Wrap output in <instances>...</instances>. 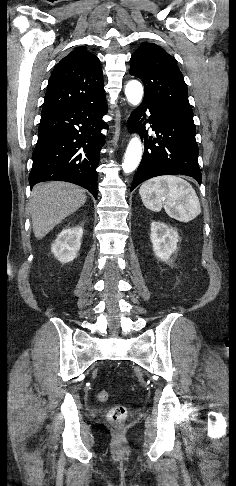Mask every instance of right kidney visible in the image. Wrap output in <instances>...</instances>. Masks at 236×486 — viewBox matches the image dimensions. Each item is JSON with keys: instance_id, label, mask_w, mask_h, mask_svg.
Returning a JSON list of instances; mask_svg holds the SVG:
<instances>
[{"instance_id": "right-kidney-1", "label": "right kidney", "mask_w": 236, "mask_h": 486, "mask_svg": "<svg viewBox=\"0 0 236 486\" xmlns=\"http://www.w3.org/2000/svg\"><path fill=\"white\" fill-rule=\"evenodd\" d=\"M82 227L64 229L51 246V252L61 263H68L77 257L80 250Z\"/></svg>"}]
</instances>
